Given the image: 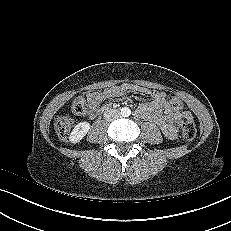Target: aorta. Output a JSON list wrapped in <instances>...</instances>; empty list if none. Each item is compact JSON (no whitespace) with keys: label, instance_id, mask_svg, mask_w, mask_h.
Returning <instances> with one entry per match:
<instances>
[{"label":"aorta","instance_id":"762f6f07","mask_svg":"<svg viewBox=\"0 0 231 231\" xmlns=\"http://www.w3.org/2000/svg\"><path fill=\"white\" fill-rule=\"evenodd\" d=\"M131 114V110L128 107H124L121 109V115L123 117H128Z\"/></svg>","mask_w":231,"mask_h":231}]
</instances>
